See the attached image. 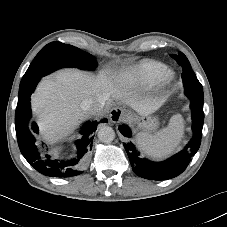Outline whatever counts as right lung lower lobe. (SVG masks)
<instances>
[{"label":"right lung lower lobe","mask_w":227,"mask_h":227,"mask_svg":"<svg viewBox=\"0 0 227 227\" xmlns=\"http://www.w3.org/2000/svg\"><path fill=\"white\" fill-rule=\"evenodd\" d=\"M37 78L28 84L19 87L18 103L15 112V126L18 145L25 159L40 173L51 177H72L81 174L79 171L85 162L86 154L92 148L93 133L96 131L98 122L86 123L82 130V138L76 142L77 155L68 161H58L49 155L41 154L42 147L36 142L34 133L38 132L36 123H31L30 97L34 92L39 80ZM102 122H107L106 119ZM48 150V149H47Z\"/></svg>","instance_id":"obj_1"}]
</instances>
